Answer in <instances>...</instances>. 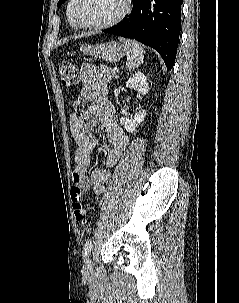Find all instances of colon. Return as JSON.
I'll return each instance as SVG.
<instances>
[{"label":"colon","instance_id":"colon-1","mask_svg":"<svg viewBox=\"0 0 239 303\" xmlns=\"http://www.w3.org/2000/svg\"><path fill=\"white\" fill-rule=\"evenodd\" d=\"M59 72L64 86H72L79 81L78 70L74 64L69 61L60 63ZM71 199L76 220L83 224L87 223V212L83 206V191L80 187L73 186L71 188Z\"/></svg>","mask_w":239,"mask_h":303}]
</instances>
